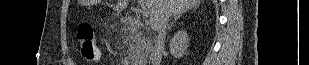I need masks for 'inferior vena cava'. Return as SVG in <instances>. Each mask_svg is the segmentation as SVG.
Listing matches in <instances>:
<instances>
[{
	"mask_svg": "<svg viewBox=\"0 0 309 65\" xmlns=\"http://www.w3.org/2000/svg\"><path fill=\"white\" fill-rule=\"evenodd\" d=\"M169 17H165V19L160 24L157 32L158 35L156 37L155 41V48H154V56L152 63L153 65H160L161 59H162V53L164 51V43H165V37H166V30L168 27Z\"/></svg>",
	"mask_w": 309,
	"mask_h": 65,
	"instance_id": "obj_1",
	"label": "inferior vena cava"
}]
</instances>
